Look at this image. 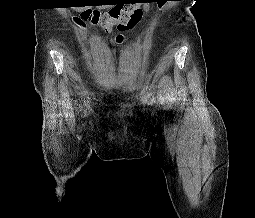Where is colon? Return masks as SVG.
Masks as SVG:
<instances>
[{"label": "colon", "mask_w": 255, "mask_h": 218, "mask_svg": "<svg viewBox=\"0 0 255 218\" xmlns=\"http://www.w3.org/2000/svg\"><path fill=\"white\" fill-rule=\"evenodd\" d=\"M143 12L137 6V0L129 1L118 5L109 11H100L96 9H87L81 13V19L105 30L116 28L124 32L134 28L142 19ZM125 40L123 35H118L116 41L121 43Z\"/></svg>", "instance_id": "5ec220e1"}]
</instances>
